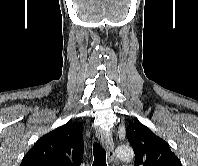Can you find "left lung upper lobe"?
<instances>
[{
  "label": "left lung upper lobe",
  "instance_id": "left-lung-upper-lobe-1",
  "mask_svg": "<svg viewBox=\"0 0 198 166\" xmlns=\"http://www.w3.org/2000/svg\"><path fill=\"white\" fill-rule=\"evenodd\" d=\"M126 135L135 153L136 166H182L169 144L140 122L130 124Z\"/></svg>",
  "mask_w": 198,
  "mask_h": 166
}]
</instances>
